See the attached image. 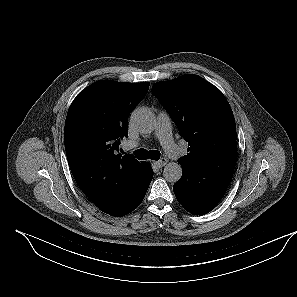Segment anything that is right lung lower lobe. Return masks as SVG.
Instances as JSON below:
<instances>
[{
    "mask_svg": "<svg viewBox=\"0 0 297 297\" xmlns=\"http://www.w3.org/2000/svg\"><path fill=\"white\" fill-rule=\"evenodd\" d=\"M146 166V175L132 189L128 196L122 201L121 205L108 213L109 215L115 217L124 216L132 212L141 204L153 177V170L150 164L146 163Z\"/></svg>",
    "mask_w": 297,
    "mask_h": 297,
    "instance_id": "obj_1",
    "label": "right lung lower lobe"
}]
</instances>
